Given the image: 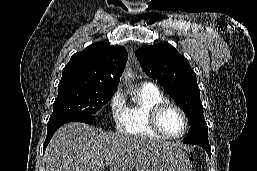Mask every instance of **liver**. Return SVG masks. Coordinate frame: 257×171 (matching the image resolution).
<instances>
[{
    "label": "liver",
    "instance_id": "6515ba94",
    "mask_svg": "<svg viewBox=\"0 0 257 171\" xmlns=\"http://www.w3.org/2000/svg\"><path fill=\"white\" fill-rule=\"evenodd\" d=\"M170 142L104 132L70 122L58 129L45 154L46 171H132L144 152Z\"/></svg>",
    "mask_w": 257,
    "mask_h": 171
}]
</instances>
